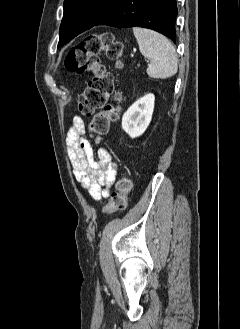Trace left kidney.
<instances>
[{"label": "left kidney", "mask_w": 240, "mask_h": 329, "mask_svg": "<svg viewBox=\"0 0 240 329\" xmlns=\"http://www.w3.org/2000/svg\"><path fill=\"white\" fill-rule=\"evenodd\" d=\"M155 96L147 94L138 99L122 117V128L131 137L142 135L149 126L154 110Z\"/></svg>", "instance_id": "5707ae66"}]
</instances>
